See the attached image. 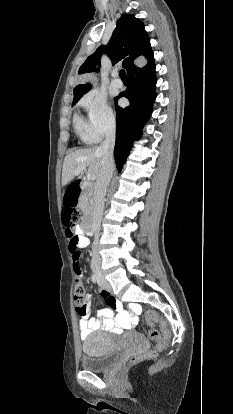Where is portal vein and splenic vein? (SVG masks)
Segmentation results:
<instances>
[{
  "mask_svg": "<svg viewBox=\"0 0 233 414\" xmlns=\"http://www.w3.org/2000/svg\"><path fill=\"white\" fill-rule=\"evenodd\" d=\"M85 169H86V167H85V166H83V167H81V168L77 169V170L75 171V174H79V173H80V171H85ZM87 179H88L89 181H93V180H95V179H96V177H95V175H93V174H87Z\"/></svg>",
  "mask_w": 233,
  "mask_h": 414,
  "instance_id": "1",
  "label": "portal vein and splenic vein"
}]
</instances>
